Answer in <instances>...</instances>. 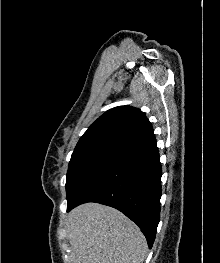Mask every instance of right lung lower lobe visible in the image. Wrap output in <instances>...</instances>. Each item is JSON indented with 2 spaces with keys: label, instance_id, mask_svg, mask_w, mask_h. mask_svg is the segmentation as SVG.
Segmentation results:
<instances>
[{
  "label": "right lung lower lobe",
  "instance_id": "right-lung-lower-lobe-1",
  "mask_svg": "<svg viewBox=\"0 0 220 263\" xmlns=\"http://www.w3.org/2000/svg\"><path fill=\"white\" fill-rule=\"evenodd\" d=\"M162 169L155 136L121 150L81 190L67 212L97 202L120 210L135 222L152 247L160 221Z\"/></svg>",
  "mask_w": 220,
  "mask_h": 263
}]
</instances>
